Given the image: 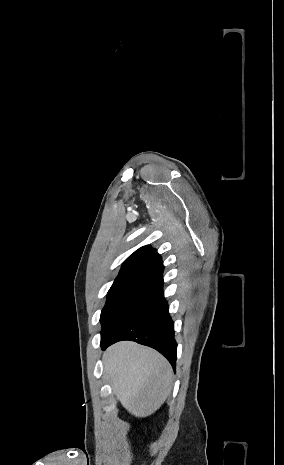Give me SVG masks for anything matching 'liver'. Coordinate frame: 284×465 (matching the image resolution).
I'll list each match as a JSON object with an SVG mask.
<instances>
[{
	"mask_svg": "<svg viewBox=\"0 0 284 465\" xmlns=\"http://www.w3.org/2000/svg\"><path fill=\"white\" fill-rule=\"evenodd\" d=\"M103 363L114 395L135 417H149L171 393L172 369L153 349L123 341L105 351Z\"/></svg>",
	"mask_w": 284,
	"mask_h": 465,
	"instance_id": "obj_1",
	"label": "liver"
}]
</instances>
